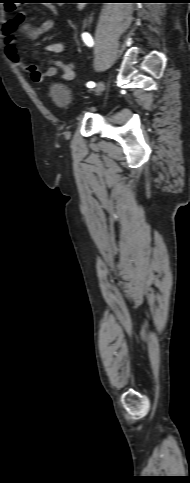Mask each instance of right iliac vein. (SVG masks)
<instances>
[{"mask_svg":"<svg viewBox=\"0 0 190 483\" xmlns=\"http://www.w3.org/2000/svg\"><path fill=\"white\" fill-rule=\"evenodd\" d=\"M104 88V83L103 82H100L98 84V86L93 90L94 93H99L100 91H102Z\"/></svg>","mask_w":190,"mask_h":483,"instance_id":"63e3f726","label":"right iliac vein"}]
</instances>
